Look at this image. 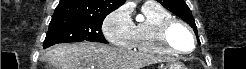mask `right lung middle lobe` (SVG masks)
Wrapping results in <instances>:
<instances>
[{
    "label": "right lung middle lobe",
    "instance_id": "dd1d6c3e",
    "mask_svg": "<svg viewBox=\"0 0 246 69\" xmlns=\"http://www.w3.org/2000/svg\"><path fill=\"white\" fill-rule=\"evenodd\" d=\"M104 18L65 17L52 19L43 47L47 48L57 43L81 41L106 43L101 31Z\"/></svg>",
    "mask_w": 246,
    "mask_h": 69
}]
</instances>
